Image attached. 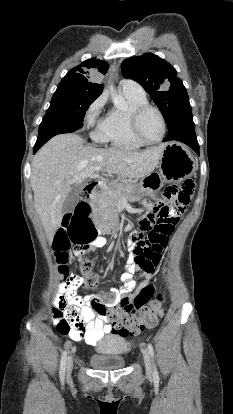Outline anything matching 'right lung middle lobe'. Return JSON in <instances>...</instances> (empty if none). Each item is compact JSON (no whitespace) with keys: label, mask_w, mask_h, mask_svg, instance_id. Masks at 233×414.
<instances>
[{"label":"right lung middle lobe","mask_w":233,"mask_h":414,"mask_svg":"<svg viewBox=\"0 0 233 414\" xmlns=\"http://www.w3.org/2000/svg\"><path fill=\"white\" fill-rule=\"evenodd\" d=\"M99 95L96 92L85 91L60 83L52 97L46 115L57 116L83 126L87 109Z\"/></svg>","instance_id":"right-lung-middle-lobe-1"}]
</instances>
